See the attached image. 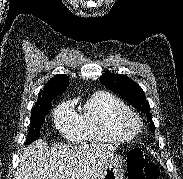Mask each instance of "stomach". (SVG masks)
I'll use <instances>...</instances> for the list:
<instances>
[{
	"instance_id": "0dacf381",
	"label": "stomach",
	"mask_w": 183,
	"mask_h": 179,
	"mask_svg": "<svg viewBox=\"0 0 183 179\" xmlns=\"http://www.w3.org/2000/svg\"><path fill=\"white\" fill-rule=\"evenodd\" d=\"M124 162L120 154L112 155L104 164L97 179H124Z\"/></svg>"
}]
</instances>
